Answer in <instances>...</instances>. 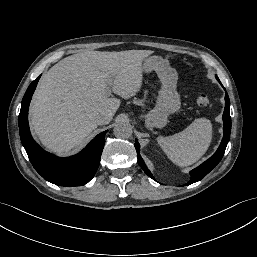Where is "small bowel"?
<instances>
[{"label":"small bowel","instance_id":"obj_1","mask_svg":"<svg viewBox=\"0 0 257 257\" xmlns=\"http://www.w3.org/2000/svg\"><path fill=\"white\" fill-rule=\"evenodd\" d=\"M173 72H174L175 75L181 76V75L184 74L185 69H184L183 66L177 65V66L174 67Z\"/></svg>","mask_w":257,"mask_h":257}]
</instances>
